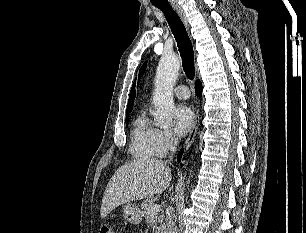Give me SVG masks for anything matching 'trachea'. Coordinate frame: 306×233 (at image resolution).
<instances>
[{
    "label": "trachea",
    "mask_w": 306,
    "mask_h": 233,
    "mask_svg": "<svg viewBox=\"0 0 306 233\" xmlns=\"http://www.w3.org/2000/svg\"><path fill=\"white\" fill-rule=\"evenodd\" d=\"M165 15L171 31L176 39L179 52L182 58L183 70L186 76L192 80L195 76L194 51L193 46L178 14L172 9L170 4H153Z\"/></svg>",
    "instance_id": "3493384b"
}]
</instances>
